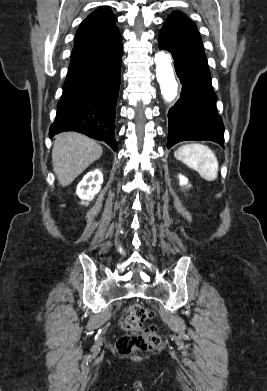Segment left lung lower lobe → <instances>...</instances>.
Listing matches in <instances>:
<instances>
[{
	"mask_svg": "<svg viewBox=\"0 0 267 391\" xmlns=\"http://www.w3.org/2000/svg\"><path fill=\"white\" fill-rule=\"evenodd\" d=\"M159 49L171 52L182 84L181 97L168 114L167 148L186 140H210L223 147L224 125L217 113L202 41L163 26Z\"/></svg>",
	"mask_w": 267,
	"mask_h": 391,
	"instance_id": "0a47b994",
	"label": "left lung lower lobe"
}]
</instances>
